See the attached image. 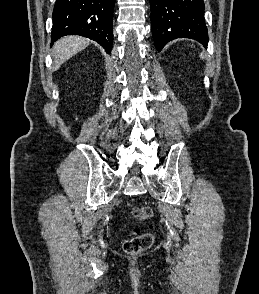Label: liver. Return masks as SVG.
Masks as SVG:
<instances>
[{"label": "liver", "instance_id": "6515ba94", "mask_svg": "<svg viewBox=\"0 0 259 294\" xmlns=\"http://www.w3.org/2000/svg\"><path fill=\"white\" fill-rule=\"evenodd\" d=\"M89 43V39L80 36H67L59 39L52 49L55 69H58L72 56L85 49Z\"/></svg>", "mask_w": 259, "mask_h": 294}]
</instances>
